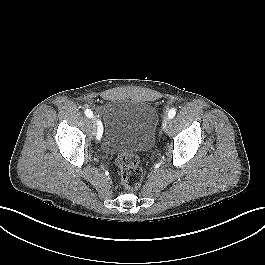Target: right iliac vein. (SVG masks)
Returning <instances> with one entry per match:
<instances>
[{
    "instance_id": "obj_1",
    "label": "right iliac vein",
    "mask_w": 265,
    "mask_h": 265,
    "mask_svg": "<svg viewBox=\"0 0 265 265\" xmlns=\"http://www.w3.org/2000/svg\"><path fill=\"white\" fill-rule=\"evenodd\" d=\"M96 120L93 121V133L95 134L97 132V126H96Z\"/></svg>"
}]
</instances>
